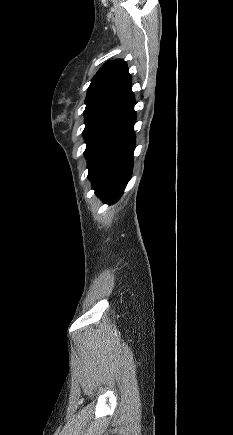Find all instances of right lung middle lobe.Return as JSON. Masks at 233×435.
I'll return each mask as SVG.
<instances>
[{
    "label": "right lung middle lobe",
    "mask_w": 233,
    "mask_h": 435,
    "mask_svg": "<svg viewBox=\"0 0 233 435\" xmlns=\"http://www.w3.org/2000/svg\"><path fill=\"white\" fill-rule=\"evenodd\" d=\"M125 117L112 114H99L85 117L83 136L87 144L86 158L95 147L124 119Z\"/></svg>",
    "instance_id": "dd1d6c3e"
}]
</instances>
